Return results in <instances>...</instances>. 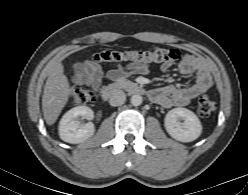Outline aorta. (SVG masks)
<instances>
[{"label":"aorta","mask_w":248,"mask_h":195,"mask_svg":"<svg viewBox=\"0 0 248 195\" xmlns=\"http://www.w3.org/2000/svg\"><path fill=\"white\" fill-rule=\"evenodd\" d=\"M131 104L133 106H139L142 104V96L141 95H138V94H135L131 97Z\"/></svg>","instance_id":"762f6f07"}]
</instances>
